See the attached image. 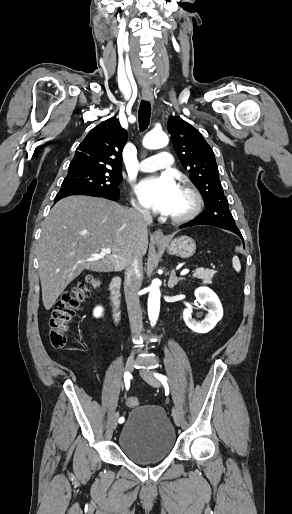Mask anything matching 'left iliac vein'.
<instances>
[{"mask_svg":"<svg viewBox=\"0 0 292 514\" xmlns=\"http://www.w3.org/2000/svg\"><path fill=\"white\" fill-rule=\"evenodd\" d=\"M140 375L152 387H155V388L160 387L159 380L148 369H141L140 370ZM172 416H173L175 424L177 426H180V424H181L180 416H179L176 408H173Z\"/></svg>","mask_w":292,"mask_h":514,"instance_id":"obj_1","label":"left iliac vein"}]
</instances>
